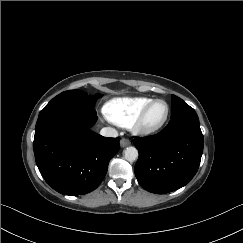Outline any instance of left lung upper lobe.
Returning <instances> with one entry per match:
<instances>
[{"mask_svg": "<svg viewBox=\"0 0 243 243\" xmlns=\"http://www.w3.org/2000/svg\"><path fill=\"white\" fill-rule=\"evenodd\" d=\"M181 116L197 117L195 110L186 104L181 98L172 95L171 120Z\"/></svg>", "mask_w": 243, "mask_h": 243, "instance_id": "1", "label": "left lung upper lobe"}]
</instances>
